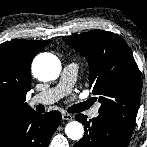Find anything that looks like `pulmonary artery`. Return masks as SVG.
Segmentation results:
<instances>
[{
  "mask_svg": "<svg viewBox=\"0 0 147 147\" xmlns=\"http://www.w3.org/2000/svg\"><path fill=\"white\" fill-rule=\"evenodd\" d=\"M78 66L75 63L65 65L62 70L58 84L46 91L36 94L31 100L30 105L51 104L72 92L76 81ZM99 115V105L94 106L90 111V116L96 118Z\"/></svg>",
  "mask_w": 147,
  "mask_h": 147,
  "instance_id": "1",
  "label": "pulmonary artery"
}]
</instances>
